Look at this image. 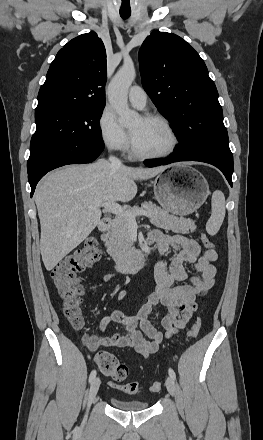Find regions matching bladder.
<instances>
[{
    "label": "bladder",
    "instance_id": "bladder-1",
    "mask_svg": "<svg viewBox=\"0 0 263 440\" xmlns=\"http://www.w3.org/2000/svg\"><path fill=\"white\" fill-rule=\"evenodd\" d=\"M111 402L116 409L125 411H141L149 407V404L139 399H124L120 397H112Z\"/></svg>",
    "mask_w": 263,
    "mask_h": 440
}]
</instances>
